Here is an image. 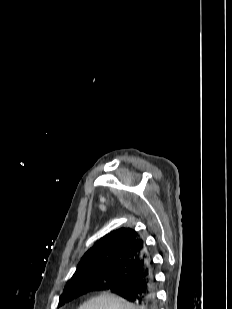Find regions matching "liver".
Here are the masks:
<instances>
[{
    "mask_svg": "<svg viewBox=\"0 0 232 309\" xmlns=\"http://www.w3.org/2000/svg\"><path fill=\"white\" fill-rule=\"evenodd\" d=\"M78 309H138L136 305L131 304L121 297L114 294L103 293L94 297Z\"/></svg>",
    "mask_w": 232,
    "mask_h": 309,
    "instance_id": "1",
    "label": "liver"
}]
</instances>
